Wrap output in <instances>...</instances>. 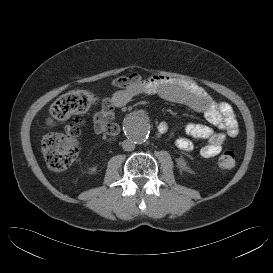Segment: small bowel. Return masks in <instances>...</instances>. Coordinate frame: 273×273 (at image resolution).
I'll list each match as a JSON object with an SVG mask.
<instances>
[{"mask_svg": "<svg viewBox=\"0 0 273 273\" xmlns=\"http://www.w3.org/2000/svg\"><path fill=\"white\" fill-rule=\"evenodd\" d=\"M112 84L118 88V91L105 100L101 110L93 118L94 128L98 132H112L116 129L112 123L116 109L124 107L136 97L155 95L163 100L181 104L202 113L210 124L226 130L231 137L238 134L235 123L227 116L228 110L212 101L204 89L191 79L164 74L144 79L139 74L132 73L116 78ZM168 128V123L161 122L158 125V132L166 133ZM180 129L185 136L175 140V146L178 149L192 150L191 138H195L207 141V144L200 149L202 157L211 158L220 153L225 140L224 134L215 132L208 125L194 122L182 124ZM68 131H76V125H69Z\"/></svg>", "mask_w": 273, "mask_h": 273, "instance_id": "obj_1", "label": "small bowel"}]
</instances>
